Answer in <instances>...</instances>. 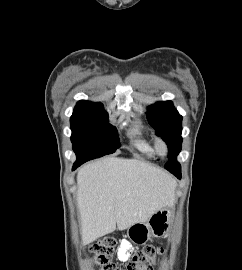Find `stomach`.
I'll list each match as a JSON object with an SVG mask.
<instances>
[{"label": "stomach", "mask_w": 242, "mask_h": 270, "mask_svg": "<svg viewBox=\"0 0 242 270\" xmlns=\"http://www.w3.org/2000/svg\"><path fill=\"white\" fill-rule=\"evenodd\" d=\"M172 211L165 207L154 213L146 222L134 223L127 228V236L131 242L143 245L151 237H165L172 223Z\"/></svg>", "instance_id": "obj_1"}]
</instances>
